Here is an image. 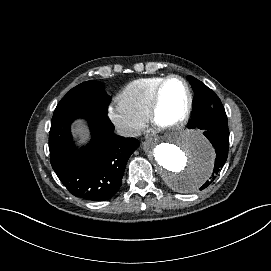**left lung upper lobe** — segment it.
Wrapping results in <instances>:
<instances>
[{
    "mask_svg": "<svg viewBox=\"0 0 271 271\" xmlns=\"http://www.w3.org/2000/svg\"><path fill=\"white\" fill-rule=\"evenodd\" d=\"M188 80L194 91L193 109L191 116V121H193L200 115L204 108L217 103H221V101L215 92L208 88L201 81L190 75L188 76Z\"/></svg>",
    "mask_w": 271,
    "mask_h": 271,
    "instance_id": "1",
    "label": "left lung upper lobe"
}]
</instances>
